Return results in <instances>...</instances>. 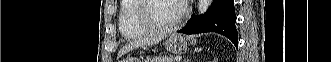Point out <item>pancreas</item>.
Wrapping results in <instances>:
<instances>
[{"mask_svg":"<svg viewBox=\"0 0 331 62\" xmlns=\"http://www.w3.org/2000/svg\"><path fill=\"white\" fill-rule=\"evenodd\" d=\"M174 58L171 56H157L155 58H153L152 62H174Z\"/></svg>","mask_w":331,"mask_h":62,"instance_id":"pancreas-1","label":"pancreas"}]
</instances>
